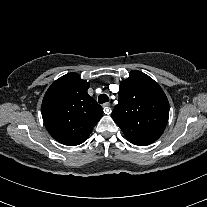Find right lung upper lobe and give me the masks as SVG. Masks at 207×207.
<instances>
[{
  "instance_id": "cb5924a9",
  "label": "right lung upper lobe",
  "mask_w": 207,
  "mask_h": 207,
  "mask_svg": "<svg viewBox=\"0 0 207 207\" xmlns=\"http://www.w3.org/2000/svg\"><path fill=\"white\" fill-rule=\"evenodd\" d=\"M89 83L77 73L57 79L42 102V118L58 142L75 146L83 143L103 114L102 107L88 95Z\"/></svg>"
}]
</instances>
